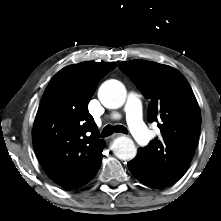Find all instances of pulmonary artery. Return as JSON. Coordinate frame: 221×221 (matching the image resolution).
Here are the masks:
<instances>
[{
	"instance_id": "e3ab8cb5",
	"label": "pulmonary artery",
	"mask_w": 221,
	"mask_h": 221,
	"mask_svg": "<svg viewBox=\"0 0 221 221\" xmlns=\"http://www.w3.org/2000/svg\"><path fill=\"white\" fill-rule=\"evenodd\" d=\"M125 110L132 136L139 144L143 146L147 145L150 140L151 134L142 121V104L138 95L134 92L129 93ZM112 117L116 118L117 116L113 115Z\"/></svg>"
}]
</instances>
